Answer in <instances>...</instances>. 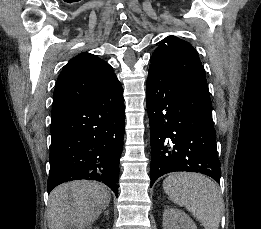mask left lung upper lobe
<instances>
[{
    "instance_id": "1",
    "label": "left lung upper lobe",
    "mask_w": 261,
    "mask_h": 229,
    "mask_svg": "<svg viewBox=\"0 0 261 229\" xmlns=\"http://www.w3.org/2000/svg\"><path fill=\"white\" fill-rule=\"evenodd\" d=\"M167 75L206 82L197 51L186 41L169 36L151 56L150 68Z\"/></svg>"
}]
</instances>
